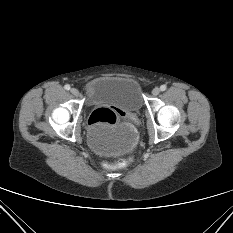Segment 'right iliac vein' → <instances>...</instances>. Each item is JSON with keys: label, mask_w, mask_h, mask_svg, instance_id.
<instances>
[{"label": "right iliac vein", "mask_w": 233, "mask_h": 233, "mask_svg": "<svg viewBox=\"0 0 233 233\" xmlns=\"http://www.w3.org/2000/svg\"><path fill=\"white\" fill-rule=\"evenodd\" d=\"M70 92H71L72 95H74V96H78V95H79V91H78L76 88H72V89L70 90Z\"/></svg>", "instance_id": "right-iliac-vein-1"}]
</instances>
